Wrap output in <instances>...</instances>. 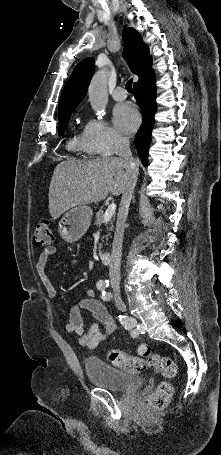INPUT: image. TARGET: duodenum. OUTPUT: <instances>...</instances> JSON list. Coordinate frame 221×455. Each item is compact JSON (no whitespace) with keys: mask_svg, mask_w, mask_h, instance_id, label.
<instances>
[{"mask_svg":"<svg viewBox=\"0 0 221 455\" xmlns=\"http://www.w3.org/2000/svg\"><path fill=\"white\" fill-rule=\"evenodd\" d=\"M100 259L104 264H110L112 261V254L109 250H103L100 252Z\"/></svg>","mask_w":221,"mask_h":455,"instance_id":"410a0bca","label":"duodenum"}]
</instances>
